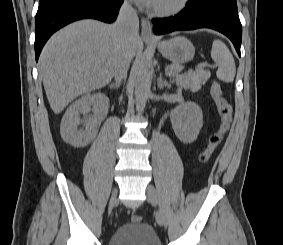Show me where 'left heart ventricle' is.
I'll return each instance as SVG.
<instances>
[{"mask_svg":"<svg viewBox=\"0 0 283 245\" xmlns=\"http://www.w3.org/2000/svg\"><path fill=\"white\" fill-rule=\"evenodd\" d=\"M176 0H156L154 5H159V6H165V5H170Z\"/></svg>","mask_w":283,"mask_h":245,"instance_id":"1","label":"left heart ventricle"}]
</instances>
